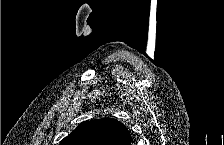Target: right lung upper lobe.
Wrapping results in <instances>:
<instances>
[{"mask_svg": "<svg viewBox=\"0 0 224 145\" xmlns=\"http://www.w3.org/2000/svg\"><path fill=\"white\" fill-rule=\"evenodd\" d=\"M132 137L124 124L114 118L82 122L60 145H131Z\"/></svg>", "mask_w": 224, "mask_h": 145, "instance_id": "right-lung-upper-lobe-1", "label": "right lung upper lobe"}]
</instances>
